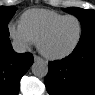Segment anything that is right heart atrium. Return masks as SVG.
<instances>
[{
    "mask_svg": "<svg viewBox=\"0 0 95 95\" xmlns=\"http://www.w3.org/2000/svg\"><path fill=\"white\" fill-rule=\"evenodd\" d=\"M8 30L11 38L18 47L26 49L34 44V41L27 34V32L24 30L20 23H10L8 25Z\"/></svg>",
    "mask_w": 95,
    "mask_h": 95,
    "instance_id": "1",
    "label": "right heart atrium"
}]
</instances>
